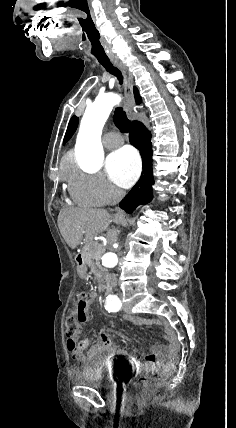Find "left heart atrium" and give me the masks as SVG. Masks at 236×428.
I'll list each match as a JSON object with an SVG mask.
<instances>
[{"instance_id":"left-heart-atrium-1","label":"left heart atrium","mask_w":236,"mask_h":428,"mask_svg":"<svg viewBox=\"0 0 236 428\" xmlns=\"http://www.w3.org/2000/svg\"><path fill=\"white\" fill-rule=\"evenodd\" d=\"M106 170L114 183L128 188L135 183L140 175V158L137 152L131 147H122L108 157Z\"/></svg>"}]
</instances>
